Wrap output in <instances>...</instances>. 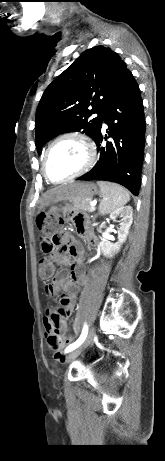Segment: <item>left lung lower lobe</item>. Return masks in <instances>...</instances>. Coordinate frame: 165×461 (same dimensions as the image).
Returning <instances> with one entry per match:
<instances>
[{
  "instance_id": "obj_1",
  "label": "left lung lower lobe",
  "mask_w": 165,
  "mask_h": 461,
  "mask_svg": "<svg viewBox=\"0 0 165 461\" xmlns=\"http://www.w3.org/2000/svg\"><path fill=\"white\" fill-rule=\"evenodd\" d=\"M108 136L101 129L94 141L100 158L95 167L79 180H105L123 185L139 194L145 146V118L139 86L130 72L124 77L104 113ZM102 128V127H101ZM111 137L106 146L103 139Z\"/></svg>"
}]
</instances>
